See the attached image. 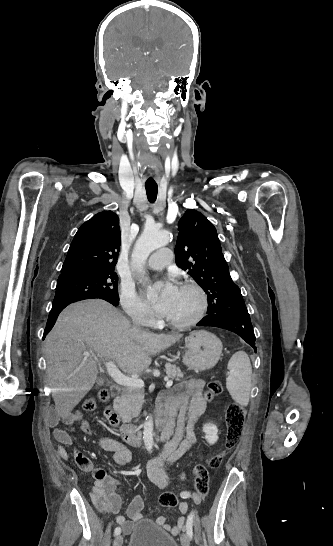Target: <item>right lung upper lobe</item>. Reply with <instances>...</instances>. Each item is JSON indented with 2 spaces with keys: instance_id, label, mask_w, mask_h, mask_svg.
I'll use <instances>...</instances> for the list:
<instances>
[{
  "instance_id": "right-lung-upper-lobe-1",
  "label": "right lung upper lobe",
  "mask_w": 333,
  "mask_h": 546,
  "mask_svg": "<svg viewBox=\"0 0 333 546\" xmlns=\"http://www.w3.org/2000/svg\"><path fill=\"white\" fill-rule=\"evenodd\" d=\"M120 250L119 218L112 211L94 215L78 229L61 274L114 271Z\"/></svg>"
}]
</instances>
